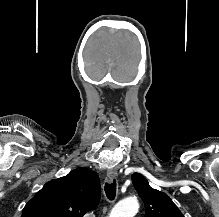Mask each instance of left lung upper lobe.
<instances>
[{
  "label": "left lung upper lobe",
  "instance_id": "5c2ea615",
  "mask_svg": "<svg viewBox=\"0 0 219 217\" xmlns=\"http://www.w3.org/2000/svg\"><path fill=\"white\" fill-rule=\"evenodd\" d=\"M132 181L144 202L145 217H184L167 194L151 188L143 175L134 173Z\"/></svg>",
  "mask_w": 219,
  "mask_h": 217
}]
</instances>
